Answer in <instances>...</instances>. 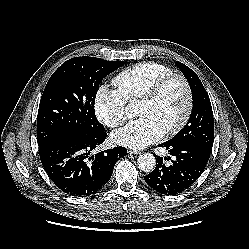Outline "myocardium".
Here are the masks:
<instances>
[{"label": "myocardium", "instance_id": "f54148a6", "mask_svg": "<svg viewBox=\"0 0 249 249\" xmlns=\"http://www.w3.org/2000/svg\"><path fill=\"white\" fill-rule=\"evenodd\" d=\"M177 80L181 83L183 86L184 92H185V107L183 114L179 121L173 125L172 127L168 128L165 130V134L168 136L175 135L179 133L187 124L188 120L190 119V116L192 114L193 110V92L192 88L190 86V83L181 74H176L172 73L170 75H167L158 81H156L141 97V101H146V102H153L155 101L163 91V89L172 81Z\"/></svg>", "mask_w": 249, "mask_h": 249}]
</instances>
